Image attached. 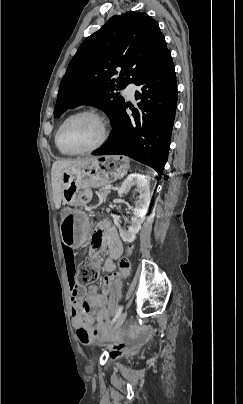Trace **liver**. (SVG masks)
Segmentation results:
<instances>
[{
	"instance_id": "1",
	"label": "liver",
	"mask_w": 243,
	"mask_h": 404,
	"mask_svg": "<svg viewBox=\"0 0 243 404\" xmlns=\"http://www.w3.org/2000/svg\"><path fill=\"white\" fill-rule=\"evenodd\" d=\"M81 162H85L83 158H78V160H57L54 162L51 170V180H52V190H53V200L56 210H59L62 202V174L65 168H71V166H79Z\"/></svg>"
}]
</instances>
